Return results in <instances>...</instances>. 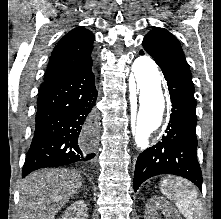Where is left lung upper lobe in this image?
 Segmentation results:
<instances>
[{
  "mask_svg": "<svg viewBox=\"0 0 221 219\" xmlns=\"http://www.w3.org/2000/svg\"><path fill=\"white\" fill-rule=\"evenodd\" d=\"M143 50L159 61L171 63L191 76L179 41L164 28L154 27L143 39Z\"/></svg>",
  "mask_w": 221,
  "mask_h": 219,
  "instance_id": "1",
  "label": "left lung upper lobe"
}]
</instances>
